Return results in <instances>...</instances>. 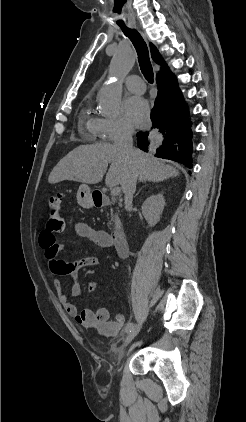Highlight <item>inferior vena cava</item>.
<instances>
[{"label": "inferior vena cava", "mask_w": 246, "mask_h": 422, "mask_svg": "<svg viewBox=\"0 0 246 422\" xmlns=\"http://www.w3.org/2000/svg\"><path fill=\"white\" fill-rule=\"evenodd\" d=\"M133 129L129 126H123L114 140V146L119 149L122 155L128 160V173L126 180L122 186L124 192L125 208H129L132 204L133 194L136 189L137 169L135 166L136 152L133 148Z\"/></svg>", "instance_id": "inferior-vena-cava-1"}]
</instances>
